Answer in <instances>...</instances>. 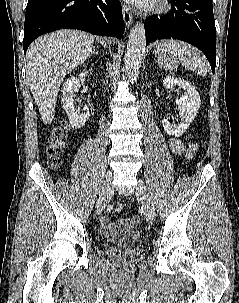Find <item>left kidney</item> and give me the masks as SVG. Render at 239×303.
Segmentation results:
<instances>
[{
  "label": "left kidney",
  "instance_id": "5707ae66",
  "mask_svg": "<svg viewBox=\"0 0 239 303\" xmlns=\"http://www.w3.org/2000/svg\"><path fill=\"white\" fill-rule=\"evenodd\" d=\"M178 86L184 90V94L177 100V103L182 107L179 114L181 122L178 125L171 124L167 119H163V127L167 134L173 136H181L188 129L195 116L198 113L201 105L199 93L195 90L191 83L184 79H177L173 76H168L163 79V86L170 89Z\"/></svg>",
  "mask_w": 239,
  "mask_h": 303
}]
</instances>
